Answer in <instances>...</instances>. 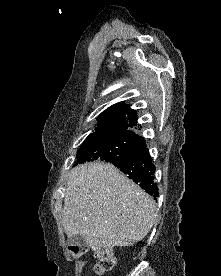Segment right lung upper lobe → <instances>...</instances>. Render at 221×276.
Segmentation results:
<instances>
[{
  "instance_id": "cb5924a9",
  "label": "right lung upper lobe",
  "mask_w": 221,
  "mask_h": 276,
  "mask_svg": "<svg viewBox=\"0 0 221 276\" xmlns=\"http://www.w3.org/2000/svg\"><path fill=\"white\" fill-rule=\"evenodd\" d=\"M135 115L136 112L124 102L114 104L98 116L97 120L99 123L97 124V128L87 138L112 133L140 137L129 129V127H133L137 123Z\"/></svg>"
}]
</instances>
